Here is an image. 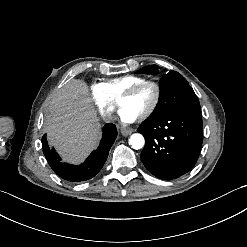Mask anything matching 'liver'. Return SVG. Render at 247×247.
I'll return each instance as SVG.
<instances>
[{
  "label": "liver",
  "mask_w": 247,
  "mask_h": 247,
  "mask_svg": "<svg viewBox=\"0 0 247 247\" xmlns=\"http://www.w3.org/2000/svg\"><path fill=\"white\" fill-rule=\"evenodd\" d=\"M44 132L63 162L79 164L96 149L101 124L83 80L72 79L55 95L45 119Z\"/></svg>",
  "instance_id": "1"
}]
</instances>
